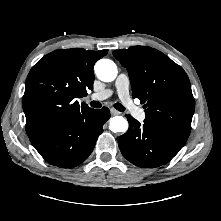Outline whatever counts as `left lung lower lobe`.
<instances>
[{"label":"left lung lower lobe","mask_w":221,"mask_h":221,"mask_svg":"<svg viewBox=\"0 0 221 221\" xmlns=\"http://www.w3.org/2000/svg\"><path fill=\"white\" fill-rule=\"evenodd\" d=\"M126 117L129 129L119 137L118 145L123 156L138 167L152 168L167 163L188 139L146 121L141 125L130 115Z\"/></svg>","instance_id":"1"}]
</instances>
